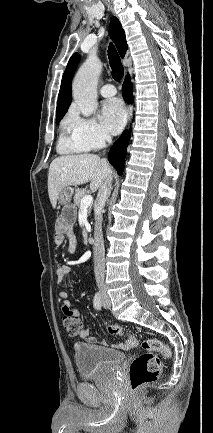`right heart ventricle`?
Listing matches in <instances>:
<instances>
[{
  "mask_svg": "<svg viewBox=\"0 0 213 433\" xmlns=\"http://www.w3.org/2000/svg\"><path fill=\"white\" fill-rule=\"evenodd\" d=\"M64 131L60 135L58 141V151L61 153H83L87 152L89 149L78 142L73 136L67 134V130H69L67 121L64 123Z\"/></svg>",
  "mask_w": 213,
  "mask_h": 433,
  "instance_id": "right-heart-ventricle-1",
  "label": "right heart ventricle"
}]
</instances>
